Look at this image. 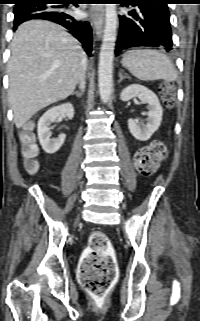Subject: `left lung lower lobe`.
Returning a JSON list of instances; mask_svg holds the SVG:
<instances>
[{
    "label": "left lung lower lobe",
    "mask_w": 200,
    "mask_h": 321,
    "mask_svg": "<svg viewBox=\"0 0 200 321\" xmlns=\"http://www.w3.org/2000/svg\"><path fill=\"white\" fill-rule=\"evenodd\" d=\"M172 0H123L133 8L120 16L115 53L131 47L150 46L172 50V32L167 4Z\"/></svg>",
    "instance_id": "obj_1"
}]
</instances>
